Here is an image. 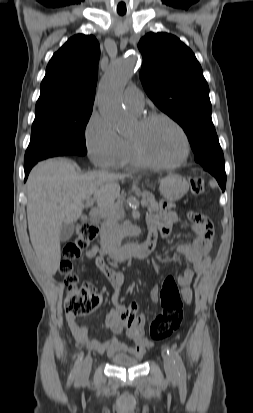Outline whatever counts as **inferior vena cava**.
<instances>
[{"label":"inferior vena cava","instance_id":"inferior-vena-cava-1","mask_svg":"<svg viewBox=\"0 0 253 413\" xmlns=\"http://www.w3.org/2000/svg\"><path fill=\"white\" fill-rule=\"evenodd\" d=\"M102 239L106 240L112 247L120 248L122 242L121 234L109 224H104L101 229Z\"/></svg>","mask_w":253,"mask_h":413}]
</instances>
